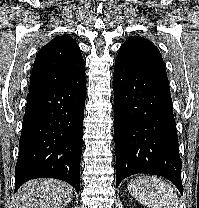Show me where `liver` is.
I'll return each instance as SVG.
<instances>
[{"mask_svg": "<svg viewBox=\"0 0 199 208\" xmlns=\"http://www.w3.org/2000/svg\"><path fill=\"white\" fill-rule=\"evenodd\" d=\"M71 197L69 184L51 178L35 179L19 189L16 208H64Z\"/></svg>", "mask_w": 199, "mask_h": 208, "instance_id": "1", "label": "liver"}]
</instances>
